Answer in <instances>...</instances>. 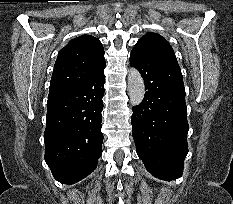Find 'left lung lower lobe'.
I'll return each mask as SVG.
<instances>
[{"label":"left lung lower lobe","mask_w":233,"mask_h":204,"mask_svg":"<svg viewBox=\"0 0 233 204\" xmlns=\"http://www.w3.org/2000/svg\"><path fill=\"white\" fill-rule=\"evenodd\" d=\"M131 66L145 84V97L133 107L132 135L146 169L163 180L182 175L188 153L185 89L179 66L132 50Z\"/></svg>","instance_id":"0a47b994"}]
</instances>
